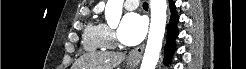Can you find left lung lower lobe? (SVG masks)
Wrapping results in <instances>:
<instances>
[{
    "mask_svg": "<svg viewBox=\"0 0 246 69\" xmlns=\"http://www.w3.org/2000/svg\"><path fill=\"white\" fill-rule=\"evenodd\" d=\"M169 5H170V10H171V18H170V23L168 25L167 43L164 48L165 50L164 62L166 64L169 63L172 57L173 51L175 49L174 40L178 35V31L176 27L177 22H178V15L175 12V4L172 0H169Z\"/></svg>",
    "mask_w": 246,
    "mask_h": 69,
    "instance_id": "0a47b994",
    "label": "left lung lower lobe"
}]
</instances>
